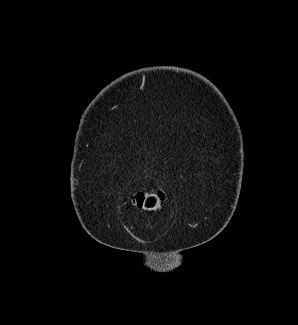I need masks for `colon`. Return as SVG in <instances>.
I'll list each match as a JSON object with an SVG mask.
<instances>
[{"label":"colon","instance_id":"1","mask_svg":"<svg viewBox=\"0 0 298 325\" xmlns=\"http://www.w3.org/2000/svg\"><path fill=\"white\" fill-rule=\"evenodd\" d=\"M165 200V193L162 190L138 191L133 195V204L144 211H157Z\"/></svg>","mask_w":298,"mask_h":325}]
</instances>
